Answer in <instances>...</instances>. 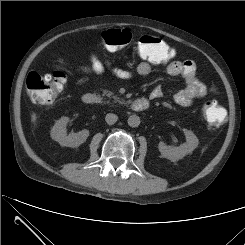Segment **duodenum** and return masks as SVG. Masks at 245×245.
Wrapping results in <instances>:
<instances>
[{"label":"duodenum","mask_w":245,"mask_h":245,"mask_svg":"<svg viewBox=\"0 0 245 245\" xmlns=\"http://www.w3.org/2000/svg\"><path fill=\"white\" fill-rule=\"evenodd\" d=\"M82 101L86 105H97L100 103V97L95 93H86L83 95ZM130 107L135 112L144 111L149 107V100L146 98L135 99Z\"/></svg>","instance_id":"duodenum-1"}]
</instances>
